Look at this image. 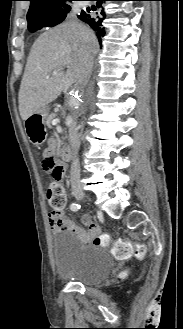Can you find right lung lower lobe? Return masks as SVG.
<instances>
[{
	"label": "right lung lower lobe",
	"mask_w": 183,
	"mask_h": 329,
	"mask_svg": "<svg viewBox=\"0 0 183 329\" xmlns=\"http://www.w3.org/2000/svg\"><path fill=\"white\" fill-rule=\"evenodd\" d=\"M97 1V6L94 5L87 7L85 10H82L78 18L83 22L87 23L94 31H96V36L101 42V38L105 35V28L102 25L103 20L106 18V14L101 8L103 1L108 0H92Z\"/></svg>",
	"instance_id": "obj_1"
}]
</instances>
